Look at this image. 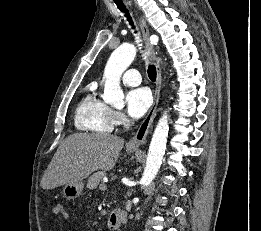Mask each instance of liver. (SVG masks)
Segmentation results:
<instances>
[{"label":"liver","instance_id":"liver-1","mask_svg":"<svg viewBox=\"0 0 261 231\" xmlns=\"http://www.w3.org/2000/svg\"><path fill=\"white\" fill-rule=\"evenodd\" d=\"M123 146L122 138L107 133L72 134L58 147L40 185L54 189L79 182L98 169L111 170Z\"/></svg>","mask_w":261,"mask_h":231}]
</instances>
